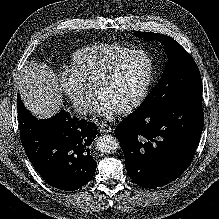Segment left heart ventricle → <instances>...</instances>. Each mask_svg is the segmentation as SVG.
<instances>
[{
  "label": "left heart ventricle",
  "mask_w": 219,
  "mask_h": 219,
  "mask_svg": "<svg viewBox=\"0 0 219 219\" xmlns=\"http://www.w3.org/2000/svg\"><path fill=\"white\" fill-rule=\"evenodd\" d=\"M148 60L142 54L125 60L98 94L105 97L117 109L129 103L137 94L148 70Z\"/></svg>",
  "instance_id": "left-heart-ventricle-1"
}]
</instances>
